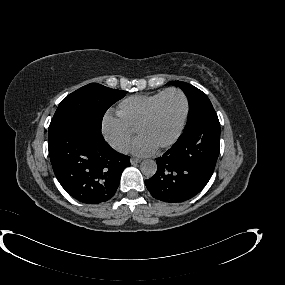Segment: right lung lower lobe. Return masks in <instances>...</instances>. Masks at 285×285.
<instances>
[{
	"instance_id": "obj_1",
	"label": "right lung lower lobe",
	"mask_w": 285,
	"mask_h": 285,
	"mask_svg": "<svg viewBox=\"0 0 285 285\" xmlns=\"http://www.w3.org/2000/svg\"><path fill=\"white\" fill-rule=\"evenodd\" d=\"M56 178L76 200L98 204L116 192L130 158L113 150L101 131L82 124L66 126L48 138Z\"/></svg>"
}]
</instances>
